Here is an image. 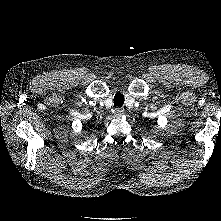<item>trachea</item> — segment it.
<instances>
[{
  "label": "trachea",
  "instance_id": "trachea-1",
  "mask_svg": "<svg viewBox=\"0 0 221 221\" xmlns=\"http://www.w3.org/2000/svg\"><path fill=\"white\" fill-rule=\"evenodd\" d=\"M124 100H125L124 95L121 93H117L114 96V105L118 107H122L124 104Z\"/></svg>",
  "mask_w": 221,
  "mask_h": 221
}]
</instances>
